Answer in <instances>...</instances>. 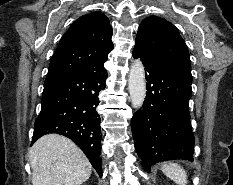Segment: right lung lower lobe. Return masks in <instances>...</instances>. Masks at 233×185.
Masks as SVG:
<instances>
[{"mask_svg":"<svg viewBox=\"0 0 233 185\" xmlns=\"http://www.w3.org/2000/svg\"><path fill=\"white\" fill-rule=\"evenodd\" d=\"M104 67L47 77L42 107L34 125L32 143L47 133L72 139L102 177L100 117L96 112L98 93L106 87Z\"/></svg>","mask_w":233,"mask_h":185,"instance_id":"obj_1","label":"right lung lower lobe"}]
</instances>
